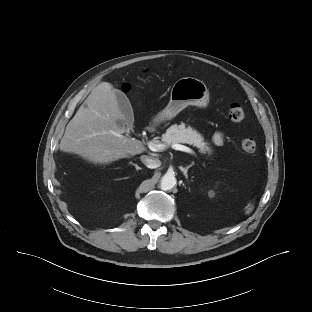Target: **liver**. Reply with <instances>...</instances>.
<instances>
[{
  "label": "liver",
  "instance_id": "liver-1",
  "mask_svg": "<svg viewBox=\"0 0 312 312\" xmlns=\"http://www.w3.org/2000/svg\"><path fill=\"white\" fill-rule=\"evenodd\" d=\"M112 84L102 82L67 124L59 148L94 164H109L145 151L139 140L124 136L122 114ZM120 121V123H119Z\"/></svg>",
  "mask_w": 312,
  "mask_h": 312
}]
</instances>
